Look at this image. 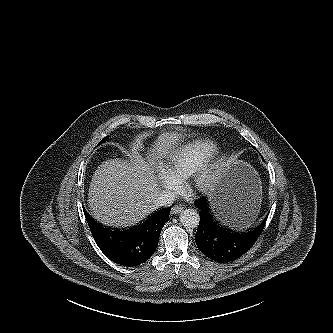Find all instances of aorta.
<instances>
[{
	"label": "aorta",
	"instance_id": "762f6f07",
	"mask_svg": "<svg viewBox=\"0 0 333 333\" xmlns=\"http://www.w3.org/2000/svg\"><path fill=\"white\" fill-rule=\"evenodd\" d=\"M180 222L186 228H196L200 222V216L194 209H185L181 212Z\"/></svg>",
	"mask_w": 333,
	"mask_h": 333
}]
</instances>
